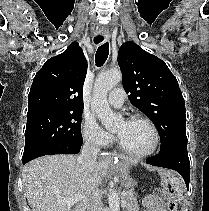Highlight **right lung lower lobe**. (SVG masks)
<instances>
[{
    "instance_id": "1",
    "label": "right lung lower lobe",
    "mask_w": 209,
    "mask_h": 211,
    "mask_svg": "<svg viewBox=\"0 0 209 211\" xmlns=\"http://www.w3.org/2000/svg\"><path fill=\"white\" fill-rule=\"evenodd\" d=\"M82 144H61V145H54L42 149L35 154L31 155L29 158L22 160V163L25 164L37 157L44 156V155H52V154H77L80 151V147Z\"/></svg>"
}]
</instances>
